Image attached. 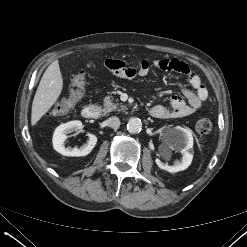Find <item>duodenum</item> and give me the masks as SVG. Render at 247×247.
I'll return each instance as SVG.
<instances>
[{
  "mask_svg": "<svg viewBox=\"0 0 247 247\" xmlns=\"http://www.w3.org/2000/svg\"><path fill=\"white\" fill-rule=\"evenodd\" d=\"M81 114L86 119H97L100 116V111L98 107L94 105H88L82 109Z\"/></svg>",
  "mask_w": 247,
  "mask_h": 247,
  "instance_id": "obj_1",
  "label": "duodenum"
}]
</instances>
